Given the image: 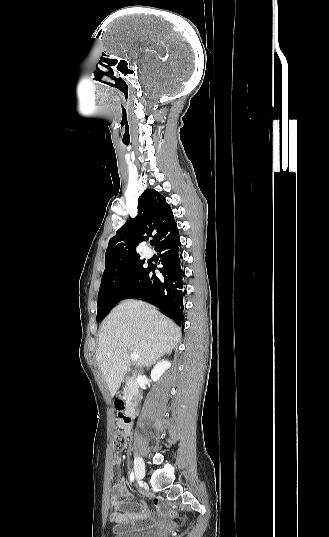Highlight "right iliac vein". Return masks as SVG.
I'll use <instances>...</instances> for the list:
<instances>
[{"instance_id": "1", "label": "right iliac vein", "mask_w": 329, "mask_h": 537, "mask_svg": "<svg viewBox=\"0 0 329 537\" xmlns=\"http://www.w3.org/2000/svg\"><path fill=\"white\" fill-rule=\"evenodd\" d=\"M135 475L137 480H141L145 475L144 461L140 457L135 459Z\"/></svg>"}]
</instances>
